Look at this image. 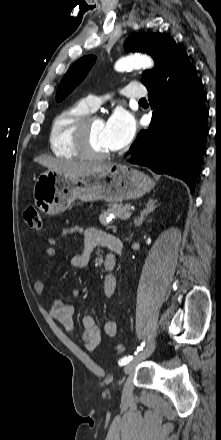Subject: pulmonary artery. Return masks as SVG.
Here are the masks:
<instances>
[{
  "instance_id": "e3ab8cb5",
  "label": "pulmonary artery",
  "mask_w": 221,
  "mask_h": 440,
  "mask_svg": "<svg viewBox=\"0 0 221 440\" xmlns=\"http://www.w3.org/2000/svg\"><path fill=\"white\" fill-rule=\"evenodd\" d=\"M121 94L128 98L143 99L146 96V90L142 85L134 82L124 86L121 89ZM85 101L92 110H96L103 102V98L96 95H89Z\"/></svg>"
}]
</instances>
